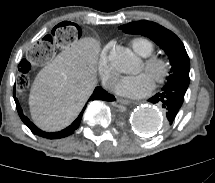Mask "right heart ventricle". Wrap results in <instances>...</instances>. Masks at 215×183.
Instances as JSON below:
<instances>
[{"label": "right heart ventricle", "mask_w": 215, "mask_h": 183, "mask_svg": "<svg viewBox=\"0 0 215 183\" xmlns=\"http://www.w3.org/2000/svg\"><path fill=\"white\" fill-rule=\"evenodd\" d=\"M130 46L133 51L141 57H148L155 50L153 42L144 37H135L131 39Z\"/></svg>", "instance_id": "right-heart-ventricle-1"}]
</instances>
